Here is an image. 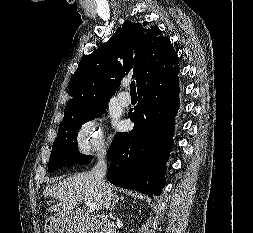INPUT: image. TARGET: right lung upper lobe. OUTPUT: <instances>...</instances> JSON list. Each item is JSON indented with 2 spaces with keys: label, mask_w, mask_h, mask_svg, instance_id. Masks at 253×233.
Masks as SVG:
<instances>
[{
  "label": "right lung upper lobe",
  "mask_w": 253,
  "mask_h": 233,
  "mask_svg": "<svg viewBox=\"0 0 253 233\" xmlns=\"http://www.w3.org/2000/svg\"><path fill=\"white\" fill-rule=\"evenodd\" d=\"M178 62L169 38L158 27L149 26L146 21L127 20L107 42L80 61L69 82L71 99L64 118L108 102L129 72H133L139 90L152 78L172 70Z\"/></svg>",
  "instance_id": "cb5924a9"
}]
</instances>
